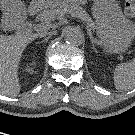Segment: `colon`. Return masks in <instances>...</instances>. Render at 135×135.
Listing matches in <instances>:
<instances>
[{
    "label": "colon",
    "mask_w": 135,
    "mask_h": 135,
    "mask_svg": "<svg viewBox=\"0 0 135 135\" xmlns=\"http://www.w3.org/2000/svg\"><path fill=\"white\" fill-rule=\"evenodd\" d=\"M125 13L129 17H135V0H125Z\"/></svg>",
    "instance_id": "obj_1"
}]
</instances>
